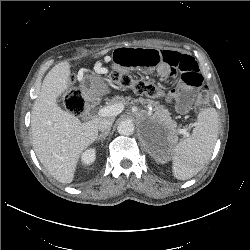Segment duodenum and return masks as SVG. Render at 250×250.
Listing matches in <instances>:
<instances>
[{
    "instance_id": "1",
    "label": "duodenum",
    "mask_w": 250,
    "mask_h": 250,
    "mask_svg": "<svg viewBox=\"0 0 250 250\" xmlns=\"http://www.w3.org/2000/svg\"><path fill=\"white\" fill-rule=\"evenodd\" d=\"M97 101L93 98H89L85 102V109L87 112L91 111L96 106Z\"/></svg>"
}]
</instances>
